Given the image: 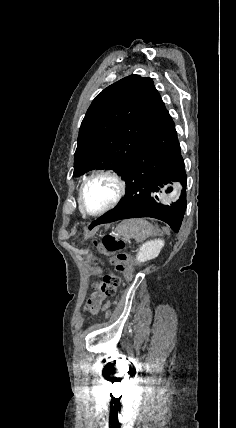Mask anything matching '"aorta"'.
I'll use <instances>...</instances> for the list:
<instances>
[{
	"label": "aorta",
	"mask_w": 236,
	"mask_h": 428,
	"mask_svg": "<svg viewBox=\"0 0 236 428\" xmlns=\"http://www.w3.org/2000/svg\"><path fill=\"white\" fill-rule=\"evenodd\" d=\"M177 194V189L175 188L174 190H173V192L170 194V196L172 197V196H175Z\"/></svg>",
	"instance_id": "762f6f07"
}]
</instances>
